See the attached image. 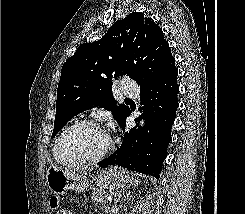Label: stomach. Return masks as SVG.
Instances as JSON below:
<instances>
[{
	"mask_svg": "<svg viewBox=\"0 0 245 214\" xmlns=\"http://www.w3.org/2000/svg\"><path fill=\"white\" fill-rule=\"evenodd\" d=\"M131 181L132 178L126 171L111 167L100 172L96 183L102 189L118 190ZM46 184L54 194H62L67 190L84 192L88 187V180L85 175L75 171L50 166L46 173Z\"/></svg>",
	"mask_w": 245,
	"mask_h": 214,
	"instance_id": "stomach-1",
	"label": "stomach"
}]
</instances>
